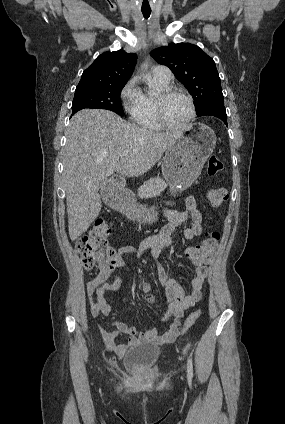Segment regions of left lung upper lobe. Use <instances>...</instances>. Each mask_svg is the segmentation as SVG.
I'll use <instances>...</instances> for the list:
<instances>
[{
	"mask_svg": "<svg viewBox=\"0 0 285 424\" xmlns=\"http://www.w3.org/2000/svg\"><path fill=\"white\" fill-rule=\"evenodd\" d=\"M150 55L170 68L185 85L194 99L197 113L212 102L224 100L215 62L198 46L171 43L154 49Z\"/></svg>",
	"mask_w": 285,
	"mask_h": 424,
	"instance_id": "left-lung-upper-lobe-1",
	"label": "left lung upper lobe"
}]
</instances>
